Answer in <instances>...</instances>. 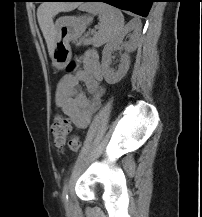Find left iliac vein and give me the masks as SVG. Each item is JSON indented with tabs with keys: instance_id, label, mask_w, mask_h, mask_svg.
<instances>
[{
	"instance_id": "left-iliac-vein-1",
	"label": "left iliac vein",
	"mask_w": 202,
	"mask_h": 217,
	"mask_svg": "<svg viewBox=\"0 0 202 217\" xmlns=\"http://www.w3.org/2000/svg\"><path fill=\"white\" fill-rule=\"evenodd\" d=\"M65 207H66V209L70 208V200L69 199L65 202Z\"/></svg>"
}]
</instances>
